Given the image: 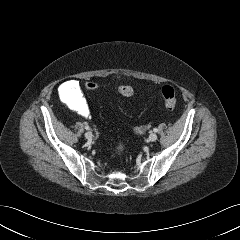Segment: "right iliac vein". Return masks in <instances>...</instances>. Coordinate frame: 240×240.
Returning <instances> with one entry per match:
<instances>
[{"mask_svg":"<svg viewBox=\"0 0 240 240\" xmlns=\"http://www.w3.org/2000/svg\"><path fill=\"white\" fill-rule=\"evenodd\" d=\"M93 137V134L91 132H86L85 133V138L88 139V140H91Z\"/></svg>","mask_w":240,"mask_h":240,"instance_id":"obj_1","label":"right iliac vein"}]
</instances>
